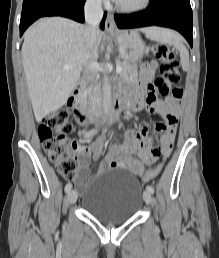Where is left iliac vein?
<instances>
[{
  "label": "left iliac vein",
  "instance_id": "1",
  "mask_svg": "<svg viewBox=\"0 0 219 258\" xmlns=\"http://www.w3.org/2000/svg\"><path fill=\"white\" fill-rule=\"evenodd\" d=\"M143 199L146 202V204H151L152 203V193L149 191H145L143 193Z\"/></svg>",
  "mask_w": 219,
  "mask_h": 258
}]
</instances>
